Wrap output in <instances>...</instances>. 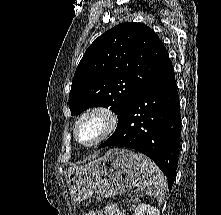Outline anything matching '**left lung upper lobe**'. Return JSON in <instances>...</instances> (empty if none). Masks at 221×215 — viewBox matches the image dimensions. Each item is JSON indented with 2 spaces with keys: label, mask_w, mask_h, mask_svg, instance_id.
<instances>
[{
  "label": "left lung upper lobe",
  "mask_w": 221,
  "mask_h": 215,
  "mask_svg": "<svg viewBox=\"0 0 221 215\" xmlns=\"http://www.w3.org/2000/svg\"><path fill=\"white\" fill-rule=\"evenodd\" d=\"M168 61L163 43L148 26L125 22L113 27L88 47L77 66L69 94L72 115L101 106L119 119Z\"/></svg>",
  "instance_id": "5c2ea615"
}]
</instances>
